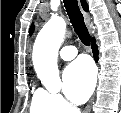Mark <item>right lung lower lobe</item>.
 Masks as SVG:
<instances>
[{
  "label": "right lung lower lobe",
  "instance_id": "right-lung-lower-lobe-1",
  "mask_svg": "<svg viewBox=\"0 0 121 113\" xmlns=\"http://www.w3.org/2000/svg\"><path fill=\"white\" fill-rule=\"evenodd\" d=\"M92 51H93V55H94L95 60H97L98 59V49H97L94 38L92 39Z\"/></svg>",
  "mask_w": 121,
  "mask_h": 113
}]
</instances>
